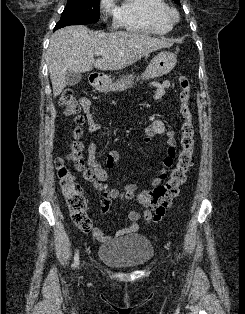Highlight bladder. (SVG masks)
Here are the masks:
<instances>
[{"instance_id": "obj_1", "label": "bladder", "mask_w": 245, "mask_h": 314, "mask_svg": "<svg viewBox=\"0 0 245 314\" xmlns=\"http://www.w3.org/2000/svg\"><path fill=\"white\" fill-rule=\"evenodd\" d=\"M153 253L152 244L146 236L133 234L102 245L98 259L115 268L131 269L148 263Z\"/></svg>"}]
</instances>
